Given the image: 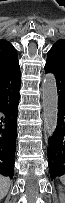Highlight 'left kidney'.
Segmentation results:
<instances>
[{"instance_id": "left-kidney-1", "label": "left kidney", "mask_w": 65, "mask_h": 203, "mask_svg": "<svg viewBox=\"0 0 65 203\" xmlns=\"http://www.w3.org/2000/svg\"><path fill=\"white\" fill-rule=\"evenodd\" d=\"M59 200L60 203H65V194L63 193L62 187H59Z\"/></svg>"}]
</instances>
